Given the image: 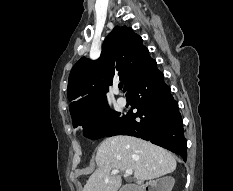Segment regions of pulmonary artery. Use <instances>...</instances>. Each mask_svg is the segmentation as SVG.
I'll list each match as a JSON object with an SVG mask.
<instances>
[{
    "label": "pulmonary artery",
    "mask_w": 233,
    "mask_h": 191,
    "mask_svg": "<svg viewBox=\"0 0 233 191\" xmlns=\"http://www.w3.org/2000/svg\"><path fill=\"white\" fill-rule=\"evenodd\" d=\"M117 102L120 106L124 107L126 104H127V100L125 97H122L120 96L118 99H117Z\"/></svg>",
    "instance_id": "pulmonary-artery-1"
}]
</instances>
